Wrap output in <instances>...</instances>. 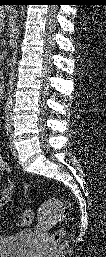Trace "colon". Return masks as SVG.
Wrapping results in <instances>:
<instances>
[{"instance_id": "colon-1", "label": "colon", "mask_w": 106, "mask_h": 257, "mask_svg": "<svg viewBox=\"0 0 106 257\" xmlns=\"http://www.w3.org/2000/svg\"><path fill=\"white\" fill-rule=\"evenodd\" d=\"M70 207L71 206L69 202H63L59 204L58 202L53 201L47 204V209L56 210L60 218H64L68 214ZM33 217L34 216L31 210H28V209L24 210L19 215L18 224L22 227L28 226L32 223ZM63 235H64V230L61 228L54 231L50 237V243L52 244L58 243L62 239Z\"/></svg>"}]
</instances>
